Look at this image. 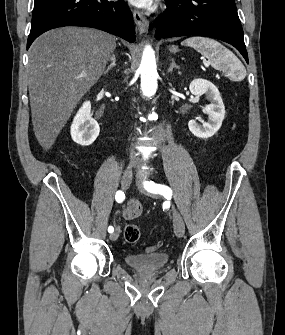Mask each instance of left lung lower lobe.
I'll list each match as a JSON object with an SVG mask.
<instances>
[{"label":"left lung lower lobe","mask_w":285,"mask_h":335,"mask_svg":"<svg viewBox=\"0 0 285 335\" xmlns=\"http://www.w3.org/2000/svg\"><path fill=\"white\" fill-rule=\"evenodd\" d=\"M167 11L156 19V38L200 35L233 45L248 63L235 0H165Z\"/></svg>","instance_id":"1"}]
</instances>
